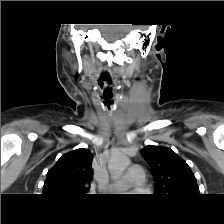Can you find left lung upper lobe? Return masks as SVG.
<instances>
[{"mask_svg":"<svg viewBox=\"0 0 224 224\" xmlns=\"http://www.w3.org/2000/svg\"><path fill=\"white\" fill-rule=\"evenodd\" d=\"M140 153L150 165L155 178L156 196L177 198L199 195L194 174L174 151L162 146L148 145Z\"/></svg>","mask_w":224,"mask_h":224,"instance_id":"1","label":"left lung upper lobe"}]
</instances>
